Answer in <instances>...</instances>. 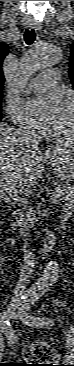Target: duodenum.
I'll return each mask as SVG.
<instances>
[{
    "instance_id": "1",
    "label": "duodenum",
    "mask_w": 74,
    "mask_h": 366,
    "mask_svg": "<svg viewBox=\"0 0 74 366\" xmlns=\"http://www.w3.org/2000/svg\"><path fill=\"white\" fill-rule=\"evenodd\" d=\"M54 241V238L52 235H47L45 238V243H44V247L45 249L48 248Z\"/></svg>"
}]
</instances>
